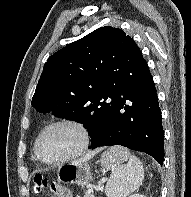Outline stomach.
I'll return each instance as SVG.
<instances>
[{
  "instance_id": "0dacf381",
  "label": "stomach",
  "mask_w": 191,
  "mask_h": 197,
  "mask_svg": "<svg viewBox=\"0 0 191 197\" xmlns=\"http://www.w3.org/2000/svg\"><path fill=\"white\" fill-rule=\"evenodd\" d=\"M101 164L105 168H110L115 164V160L110 157L109 150L103 153ZM58 179L62 183L77 184L85 186L90 182L91 173L87 162L79 164H67L58 169Z\"/></svg>"
}]
</instances>
